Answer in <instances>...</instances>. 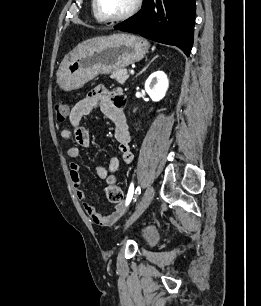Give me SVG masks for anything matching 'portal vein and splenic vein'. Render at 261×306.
I'll return each mask as SVG.
<instances>
[{"label": "portal vein and splenic vein", "mask_w": 261, "mask_h": 306, "mask_svg": "<svg viewBox=\"0 0 261 306\" xmlns=\"http://www.w3.org/2000/svg\"><path fill=\"white\" fill-rule=\"evenodd\" d=\"M130 74H132V75H133V74H134V70H131V71H130Z\"/></svg>", "instance_id": "portal-vein-and-splenic-vein-1"}]
</instances>
